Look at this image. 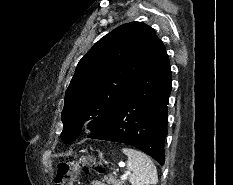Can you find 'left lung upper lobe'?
Wrapping results in <instances>:
<instances>
[{"mask_svg": "<svg viewBox=\"0 0 233 185\" xmlns=\"http://www.w3.org/2000/svg\"><path fill=\"white\" fill-rule=\"evenodd\" d=\"M166 53L142 22L123 24L102 37L79 61L65 94L61 139L69 143L81 127L95 131L115 113L133 85Z\"/></svg>", "mask_w": 233, "mask_h": 185, "instance_id": "left-lung-upper-lobe-1", "label": "left lung upper lobe"}]
</instances>
